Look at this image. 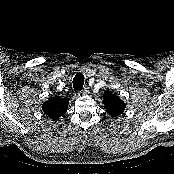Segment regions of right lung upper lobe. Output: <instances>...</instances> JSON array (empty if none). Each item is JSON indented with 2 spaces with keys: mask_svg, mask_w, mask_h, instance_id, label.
<instances>
[{
  "mask_svg": "<svg viewBox=\"0 0 174 174\" xmlns=\"http://www.w3.org/2000/svg\"><path fill=\"white\" fill-rule=\"evenodd\" d=\"M69 99L51 97L42 105V110L47 117L56 120L63 116L67 111Z\"/></svg>",
  "mask_w": 174,
  "mask_h": 174,
  "instance_id": "right-lung-upper-lobe-1",
  "label": "right lung upper lobe"
}]
</instances>
